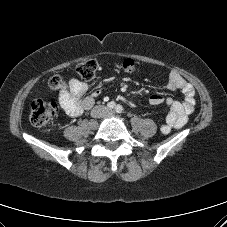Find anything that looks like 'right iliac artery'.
<instances>
[{"label": "right iliac artery", "instance_id": "obj_1", "mask_svg": "<svg viewBox=\"0 0 227 227\" xmlns=\"http://www.w3.org/2000/svg\"><path fill=\"white\" fill-rule=\"evenodd\" d=\"M115 106H116V103L114 102V101H111V102H109L108 104H107V108L108 109H114L115 108Z\"/></svg>", "mask_w": 227, "mask_h": 227}]
</instances>
